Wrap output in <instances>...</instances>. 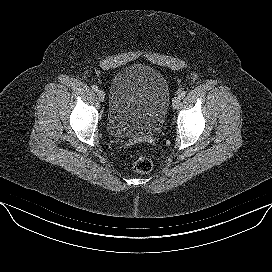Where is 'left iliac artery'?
Wrapping results in <instances>:
<instances>
[{
  "label": "left iliac artery",
  "instance_id": "1",
  "mask_svg": "<svg viewBox=\"0 0 272 272\" xmlns=\"http://www.w3.org/2000/svg\"><path fill=\"white\" fill-rule=\"evenodd\" d=\"M185 95H186V92H185V91H181L180 94H179V96H180L181 98L185 97Z\"/></svg>",
  "mask_w": 272,
  "mask_h": 272
}]
</instances>
